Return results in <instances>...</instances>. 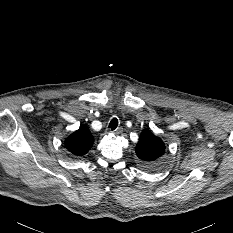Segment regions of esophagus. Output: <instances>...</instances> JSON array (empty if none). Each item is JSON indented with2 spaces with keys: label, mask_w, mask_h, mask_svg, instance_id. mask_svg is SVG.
<instances>
[{
  "label": "esophagus",
  "mask_w": 233,
  "mask_h": 233,
  "mask_svg": "<svg viewBox=\"0 0 233 233\" xmlns=\"http://www.w3.org/2000/svg\"><path fill=\"white\" fill-rule=\"evenodd\" d=\"M122 131H123V128H122V127H118V128H116V129L114 130V133H115V134H121Z\"/></svg>",
  "instance_id": "obj_1"
}]
</instances>
